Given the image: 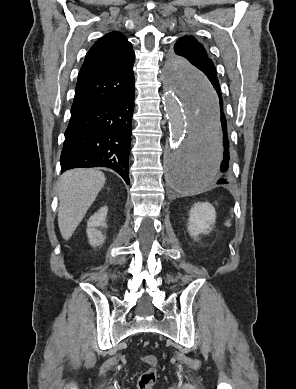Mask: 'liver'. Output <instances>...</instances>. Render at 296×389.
<instances>
[{"instance_id":"obj_1","label":"liver","mask_w":296,"mask_h":389,"mask_svg":"<svg viewBox=\"0 0 296 389\" xmlns=\"http://www.w3.org/2000/svg\"><path fill=\"white\" fill-rule=\"evenodd\" d=\"M105 180L104 173L95 169H73L60 177L58 225L65 240L71 238Z\"/></svg>"}]
</instances>
